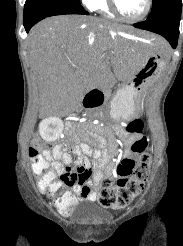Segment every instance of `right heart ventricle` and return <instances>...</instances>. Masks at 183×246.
<instances>
[{
  "label": "right heart ventricle",
  "instance_id": "e07e8e85",
  "mask_svg": "<svg viewBox=\"0 0 183 246\" xmlns=\"http://www.w3.org/2000/svg\"><path fill=\"white\" fill-rule=\"evenodd\" d=\"M90 9L110 18L116 17L110 10L107 0H93Z\"/></svg>",
  "mask_w": 183,
  "mask_h": 246
}]
</instances>
